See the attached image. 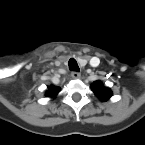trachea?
Here are the masks:
<instances>
[{
  "mask_svg": "<svg viewBox=\"0 0 145 145\" xmlns=\"http://www.w3.org/2000/svg\"><path fill=\"white\" fill-rule=\"evenodd\" d=\"M68 65H69V70L71 71H76L78 72L80 69H79V66L76 62V60L74 58H71L68 62Z\"/></svg>",
  "mask_w": 145,
  "mask_h": 145,
  "instance_id": "1",
  "label": "trachea"
}]
</instances>
